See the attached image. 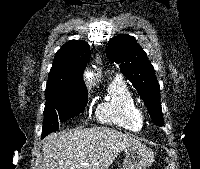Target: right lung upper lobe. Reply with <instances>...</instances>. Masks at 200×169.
Listing matches in <instances>:
<instances>
[{
	"mask_svg": "<svg viewBox=\"0 0 200 169\" xmlns=\"http://www.w3.org/2000/svg\"><path fill=\"white\" fill-rule=\"evenodd\" d=\"M90 58V47L84 41L71 40L55 54L47 85L46 99L87 92L82 73Z\"/></svg>",
	"mask_w": 200,
	"mask_h": 169,
	"instance_id": "cb5924a9",
	"label": "right lung upper lobe"
}]
</instances>
